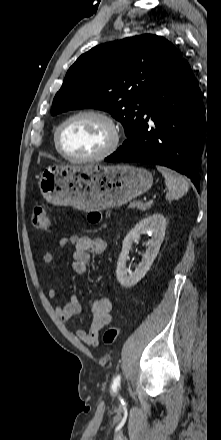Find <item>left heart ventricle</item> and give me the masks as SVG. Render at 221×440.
<instances>
[{"instance_id":"b2bd125f","label":"left heart ventricle","mask_w":221,"mask_h":440,"mask_svg":"<svg viewBox=\"0 0 221 440\" xmlns=\"http://www.w3.org/2000/svg\"><path fill=\"white\" fill-rule=\"evenodd\" d=\"M111 131L108 125L96 117H79L63 129L61 145L73 157H89L103 151L109 144Z\"/></svg>"}]
</instances>
